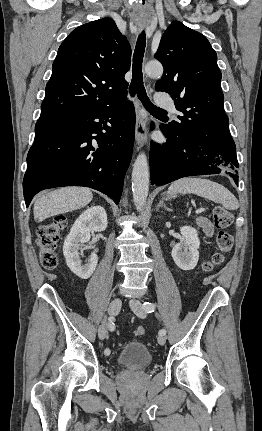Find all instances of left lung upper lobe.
<instances>
[{"label": "left lung upper lobe", "mask_w": 262, "mask_h": 431, "mask_svg": "<svg viewBox=\"0 0 262 431\" xmlns=\"http://www.w3.org/2000/svg\"><path fill=\"white\" fill-rule=\"evenodd\" d=\"M155 57L164 66L156 90L169 93L184 114L178 116L179 122L165 125L168 132L184 140L221 146L231 135L217 54L207 38L174 21L164 32Z\"/></svg>", "instance_id": "left-lung-upper-lobe-1"}]
</instances>
